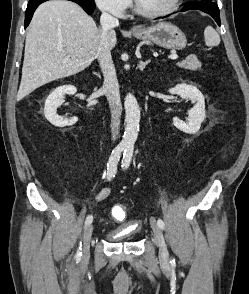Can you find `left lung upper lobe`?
<instances>
[{"label":"left lung upper lobe","instance_id":"5c2ea615","mask_svg":"<svg viewBox=\"0 0 249 294\" xmlns=\"http://www.w3.org/2000/svg\"><path fill=\"white\" fill-rule=\"evenodd\" d=\"M202 1H212V0H202Z\"/></svg>","mask_w":249,"mask_h":294}]
</instances>
